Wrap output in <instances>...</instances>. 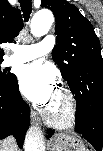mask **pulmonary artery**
I'll return each instance as SVG.
<instances>
[{
	"label": "pulmonary artery",
	"mask_w": 103,
	"mask_h": 151,
	"mask_svg": "<svg viewBox=\"0 0 103 151\" xmlns=\"http://www.w3.org/2000/svg\"><path fill=\"white\" fill-rule=\"evenodd\" d=\"M55 44V38L47 35L36 44L18 45L15 47V54L12 57L13 64L24 63L49 53Z\"/></svg>",
	"instance_id": "pulmonary-artery-1"
}]
</instances>
